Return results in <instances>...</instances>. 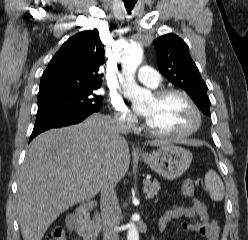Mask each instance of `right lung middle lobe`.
<instances>
[{"label":"right lung middle lobe","instance_id":"dd1d6c3e","mask_svg":"<svg viewBox=\"0 0 248 240\" xmlns=\"http://www.w3.org/2000/svg\"><path fill=\"white\" fill-rule=\"evenodd\" d=\"M95 89H81L38 96V110L63 109L68 111L97 112L101 106V96Z\"/></svg>","mask_w":248,"mask_h":240}]
</instances>
